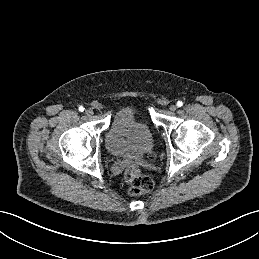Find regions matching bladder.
<instances>
[{"label": "bladder", "mask_w": 259, "mask_h": 259, "mask_svg": "<svg viewBox=\"0 0 259 259\" xmlns=\"http://www.w3.org/2000/svg\"><path fill=\"white\" fill-rule=\"evenodd\" d=\"M107 150L114 156H142L152 142L148 123L130 108L119 109L106 134Z\"/></svg>", "instance_id": "obj_1"}]
</instances>
